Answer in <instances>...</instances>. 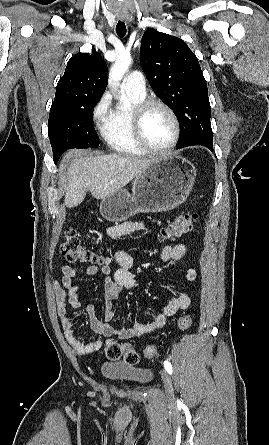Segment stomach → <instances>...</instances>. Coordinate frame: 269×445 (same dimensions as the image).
<instances>
[{"instance_id":"1","label":"stomach","mask_w":269,"mask_h":445,"mask_svg":"<svg viewBox=\"0 0 269 445\" xmlns=\"http://www.w3.org/2000/svg\"><path fill=\"white\" fill-rule=\"evenodd\" d=\"M196 176L193 166L177 156L155 160L133 181L132 192L119 190L100 203V213L111 222H123L137 213L172 210L189 196Z\"/></svg>"}]
</instances>
